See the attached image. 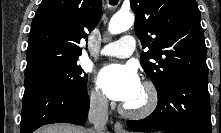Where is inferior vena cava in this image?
Returning a JSON list of instances; mask_svg holds the SVG:
<instances>
[{"mask_svg": "<svg viewBox=\"0 0 221 133\" xmlns=\"http://www.w3.org/2000/svg\"><path fill=\"white\" fill-rule=\"evenodd\" d=\"M88 120L93 125L91 133H105V126L108 121V100L98 94L91 98Z\"/></svg>", "mask_w": 221, "mask_h": 133, "instance_id": "602c4592", "label": "inferior vena cava"}]
</instances>
